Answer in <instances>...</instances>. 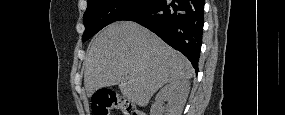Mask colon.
<instances>
[{"mask_svg":"<svg viewBox=\"0 0 285 115\" xmlns=\"http://www.w3.org/2000/svg\"><path fill=\"white\" fill-rule=\"evenodd\" d=\"M92 110L95 115H109L111 111H119L123 115H144L130 101L106 89H101L94 94Z\"/></svg>","mask_w":285,"mask_h":115,"instance_id":"colon-1","label":"colon"}]
</instances>
